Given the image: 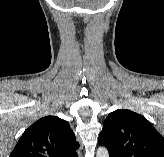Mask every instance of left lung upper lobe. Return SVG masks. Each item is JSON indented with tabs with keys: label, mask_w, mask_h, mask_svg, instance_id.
Returning <instances> with one entry per match:
<instances>
[{
	"label": "left lung upper lobe",
	"mask_w": 164,
	"mask_h": 157,
	"mask_svg": "<svg viewBox=\"0 0 164 157\" xmlns=\"http://www.w3.org/2000/svg\"><path fill=\"white\" fill-rule=\"evenodd\" d=\"M98 140L114 157H164V138L146 118L130 110L110 113Z\"/></svg>",
	"instance_id": "5c2ea615"
}]
</instances>
